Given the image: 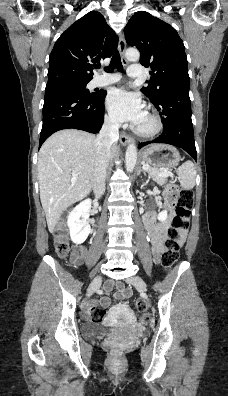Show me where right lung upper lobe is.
Returning a JSON list of instances; mask_svg holds the SVG:
<instances>
[{
  "instance_id": "cb5924a9",
  "label": "right lung upper lobe",
  "mask_w": 228,
  "mask_h": 396,
  "mask_svg": "<svg viewBox=\"0 0 228 396\" xmlns=\"http://www.w3.org/2000/svg\"><path fill=\"white\" fill-rule=\"evenodd\" d=\"M118 37L105 18L91 11L73 23L56 41L49 58L46 88L68 82H89L95 64L110 57Z\"/></svg>"
}]
</instances>
